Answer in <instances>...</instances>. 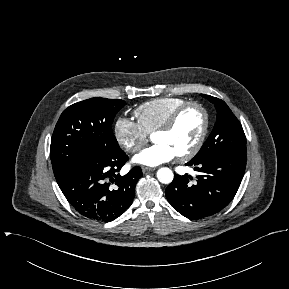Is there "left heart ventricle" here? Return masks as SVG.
Returning a JSON list of instances; mask_svg holds the SVG:
<instances>
[{
	"mask_svg": "<svg viewBox=\"0 0 289 289\" xmlns=\"http://www.w3.org/2000/svg\"><path fill=\"white\" fill-rule=\"evenodd\" d=\"M202 125V113L197 108L192 107L181 115L171 131L154 134L153 141L168 145L176 155H179L193 146L200 134Z\"/></svg>",
	"mask_w": 289,
	"mask_h": 289,
	"instance_id": "1",
	"label": "left heart ventricle"
}]
</instances>
